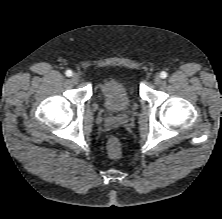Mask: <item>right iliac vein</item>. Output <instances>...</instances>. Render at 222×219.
<instances>
[{"mask_svg":"<svg viewBox=\"0 0 222 219\" xmlns=\"http://www.w3.org/2000/svg\"><path fill=\"white\" fill-rule=\"evenodd\" d=\"M79 79H80V77H79V75H78L77 73H74V74L71 76V81H72L74 84L78 83V82H79Z\"/></svg>","mask_w":222,"mask_h":219,"instance_id":"obj_1","label":"right iliac vein"}]
</instances>
